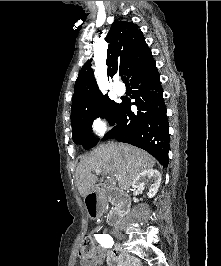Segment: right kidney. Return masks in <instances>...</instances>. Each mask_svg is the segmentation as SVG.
<instances>
[{
	"instance_id": "right-kidney-1",
	"label": "right kidney",
	"mask_w": 221,
	"mask_h": 266,
	"mask_svg": "<svg viewBox=\"0 0 221 266\" xmlns=\"http://www.w3.org/2000/svg\"><path fill=\"white\" fill-rule=\"evenodd\" d=\"M150 181V189L148 192L149 198H152L156 195L160 183H161V174L158 170L156 169H145L142 171L133 181V187L137 189H142L144 188V183L146 181Z\"/></svg>"
}]
</instances>
